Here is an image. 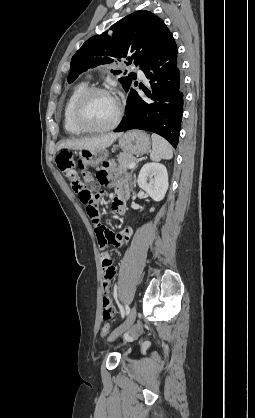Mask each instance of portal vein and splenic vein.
Listing matches in <instances>:
<instances>
[{"mask_svg": "<svg viewBox=\"0 0 255 418\" xmlns=\"http://www.w3.org/2000/svg\"><path fill=\"white\" fill-rule=\"evenodd\" d=\"M136 166V163L135 162H132L130 165H129V169H132V168H134Z\"/></svg>", "mask_w": 255, "mask_h": 418, "instance_id": "1", "label": "portal vein and splenic vein"}]
</instances>
